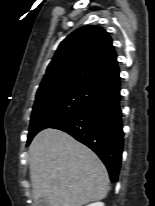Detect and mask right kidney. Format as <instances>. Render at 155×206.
<instances>
[{
	"mask_svg": "<svg viewBox=\"0 0 155 206\" xmlns=\"http://www.w3.org/2000/svg\"><path fill=\"white\" fill-rule=\"evenodd\" d=\"M87 206H105V205L102 202H96V203H92V204L87 205Z\"/></svg>",
	"mask_w": 155,
	"mask_h": 206,
	"instance_id": "obj_1",
	"label": "right kidney"
}]
</instances>
